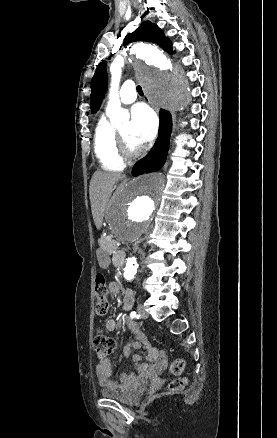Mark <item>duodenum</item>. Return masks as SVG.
Returning a JSON list of instances; mask_svg holds the SVG:
<instances>
[{
  "mask_svg": "<svg viewBox=\"0 0 277 438\" xmlns=\"http://www.w3.org/2000/svg\"><path fill=\"white\" fill-rule=\"evenodd\" d=\"M125 259H126V254L124 251H117L114 255V263L118 267L123 265Z\"/></svg>",
  "mask_w": 277,
  "mask_h": 438,
  "instance_id": "duodenum-1",
  "label": "duodenum"
}]
</instances>
